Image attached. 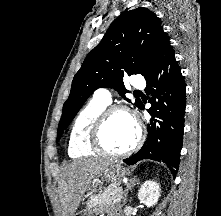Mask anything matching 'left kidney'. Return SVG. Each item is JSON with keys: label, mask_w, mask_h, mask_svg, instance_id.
Wrapping results in <instances>:
<instances>
[{"label": "left kidney", "mask_w": 221, "mask_h": 216, "mask_svg": "<svg viewBox=\"0 0 221 216\" xmlns=\"http://www.w3.org/2000/svg\"><path fill=\"white\" fill-rule=\"evenodd\" d=\"M160 186L153 180H148L138 190V199L147 207L154 206L160 197Z\"/></svg>", "instance_id": "obj_1"}]
</instances>
